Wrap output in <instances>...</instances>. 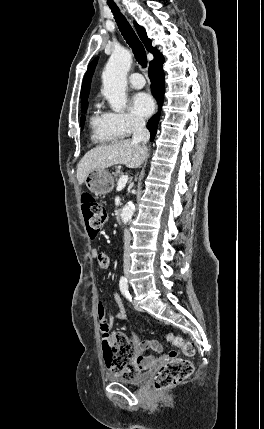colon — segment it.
I'll use <instances>...</instances> for the list:
<instances>
[{
    "mask_svg": "<svg viewBox=\"0 0 264 429\" xmlns=\"http://www.w3.org/2000/svg\"><path fill=\"white\" fill-rule=\"evenodd\" d=\"M81 208L83 217L91 237H95L107 222L105 207L89 193L81 195ZM98 319L103 331V355L108 369L123 377H133L139 373V367L135 362V349L131 341L124 333H109L105 308L98 305ZM169 340L173 345L182 349L187 356L194 354V346L181 337L170 335ZM192 364L173 354L155 374L154 388L164 390L178 385L192 374Z\"/></svg>",
    "mask_w": 264,
    "mask_h": 429,
    "instance_id": "colon-1",
    "label": "colon"
}]
</instances>
